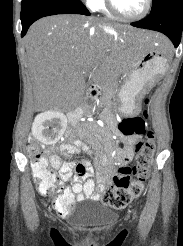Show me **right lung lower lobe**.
<instances>
[{"mask_svg": "<svg viewBox=\"0 0 183 246\" xmlns=\"http://www.w3.org/2000/svg\"><path fill=\"white\" fill-rule=\"evenodd\" d=\"M56 14H82L89 16L90 12L78 0H61L53 4L42 3L21 8V36L23 37L26 34L29 26L36 20Z\"/></svg>", "mask_w": 183, "mask_h": 246, "instance_id": "1", "label": "right lung lower lobe"}]
</instances>
